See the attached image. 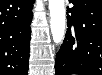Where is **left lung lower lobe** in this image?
I'll return each mask as SVG.
<instances>
[{
  "mask_svg": "<svg viewBox=\"0 0 102 75\" xmlns=\"http://www.w3.org/2000/svg\"><path fill=\"white\" fill-rule=\"evenodd\" d=\"M55 75H102V0H69Z\"/></svg>",
  "mask_w": 102,
  "mask_h": 75,
  "instance_id": "obj_1",
  "label": "left lung lower lobe"
}]
</instances>
